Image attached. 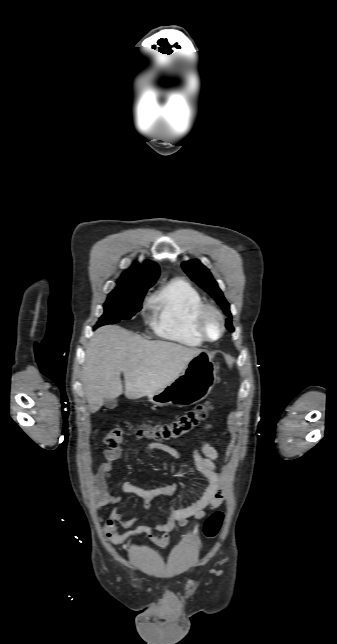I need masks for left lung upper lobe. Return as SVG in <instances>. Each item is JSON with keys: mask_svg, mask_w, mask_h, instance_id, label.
Returning <instances> with one entry per match:
<instances>
[{"mask_svg": "<svg viewBox=\"0 0 337 644\" xmlns=\"http://www.w3.org/2000/svg\"><path fill=\"white\" fill-rule=\"evenodd\" d=\"M185 273L196 282L202 289L210 294L224 310L228 317H231L230 306L219 289L217 282L212 277L210 271L197 259L182 263ZM228 329L233 330L231 321L226 323Z\"/></svg>", "mask_w": 337, "mask_h": 644, "instance_id": "left-lung-upper-lobe-1", "label": "left lung upper lobe"}]
</instances>
